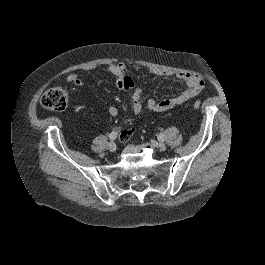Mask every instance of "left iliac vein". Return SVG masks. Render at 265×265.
I'll use <instances>...</instances> for the list:
<instances>
[{"label": "left iliac vein", "instance_id": "obj_1", "mask_svg": "<svg viewBox=\"0 0 265 265\" xmlns=\"http://www.w3.org/2000/svg\"><path fill=\"white\" fill-rule=\"evenodd\" d=\"M154 144V143H153ZM158 147L161 151H164L166 149V145L164 143L159 142Z\"/></svg>", "mask_w": 265, "mask_h": 265}]
</instances>
